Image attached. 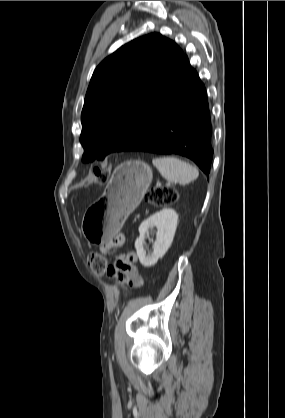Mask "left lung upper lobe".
Returning <instances> with one entry per match:
<instances>
[{"label": "left lung upper lobe", "mask_w": 285, "mask_h": 418, "mask_svg": "<svg viewBox=\"0 0 285 418\" xmlns=\"http://www.w3.org/2000/svg\"><path fill=\"white\" fill-rule=\"evenodd\" d=\"M184 53L159 33L137 38L95 69L81 113L82 160L124 151L167 89Z\"/></svg>", "instance_id": "left-lung-upper-lobe-1"}]
</instances>
